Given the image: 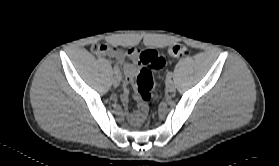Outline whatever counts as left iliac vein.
<instances>
[{
  "mask_svg": "<svg viewBox=\"0 0 279 166\" xmlns=\"http://www.w3.org/2000/svg\"><path fill=\"white\" fill-rule=\"evenodd\" d=\"M166 90L168 92H174L175 91V84L171 79H168L166 81Z\"/></svg>",
  "mask_w": 279,
  "mask_h": 166,
  "instance_id": "left-iliac-vein-1",
  "label": "left iliac vein"
}]
</instances>
